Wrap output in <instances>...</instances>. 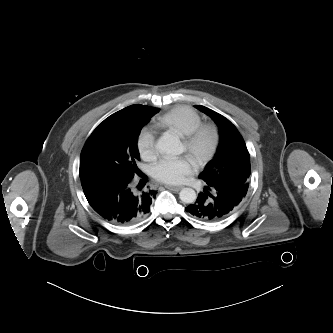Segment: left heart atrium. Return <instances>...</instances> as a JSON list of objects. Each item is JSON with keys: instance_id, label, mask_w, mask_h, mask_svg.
I'll return each mask as SVG.
<instances>
[{"instance_id": "39dd6f15", "label": "left heart atrium", "mask_w": 333, "mask_h": 333, "mask_svg": "<svg viewBox=\"0 0 333 333\" xmlns=\"http://www.w3.org/2000/svg\"><path fill=\"white\" fill-rule=\"evenodd\" d=\"M195 170L188 156L165 157L152 167V176L159 182L176 185L182 183Z\"/></svg>"}]
</instances>
